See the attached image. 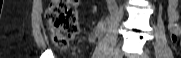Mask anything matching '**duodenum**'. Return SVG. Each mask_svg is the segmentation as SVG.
Masks as SVG:
<instances>
[{"mask_svg":"<svg viewBox=\"0 0 181 58\" xmlns=\"http://www.w3.org/2000/svg\"><path fill=\"white\" fill-rule=\"evenodd\" d=\"M108 2H109V4H110V5H112V4H113V1H112V0H109Z\"/></svg>","mask_w":181,"mask_h":58,"instance_id":"obj_1","label":"duodenum"}]
</instances>
